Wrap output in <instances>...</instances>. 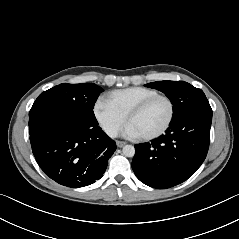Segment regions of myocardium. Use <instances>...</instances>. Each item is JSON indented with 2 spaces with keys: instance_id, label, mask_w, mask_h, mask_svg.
Masks as SVG:
<instances>
[{
  "instance_id": "1",
  "label": "myocardium",
  "mask_w": 239,
  "mask_h": 239,
  "mask_svg": "<svg viewBox=\"0 0 239 239\" xmlns=\"http://www.w3.org/2000/svg\"><path fill=\"white\" fill-rule=\"evenodd\" d=\"M158 99H165L168 102L170 107L169 118L167 122L164 124V126L161 129H159L157 132L153 134L145 135V136H140L141 140L150 141V140H154L161 137L168 131V129L173 123V120L175 117V111H176L174 101L168 95L160 94V93L146 98L145 100L137 104L135 107H133L127 115V121L129 122L134 116L143 112L150 104H152L154 101Z\"/></svg>"
}]
</instances>
